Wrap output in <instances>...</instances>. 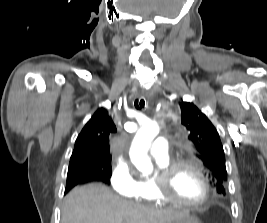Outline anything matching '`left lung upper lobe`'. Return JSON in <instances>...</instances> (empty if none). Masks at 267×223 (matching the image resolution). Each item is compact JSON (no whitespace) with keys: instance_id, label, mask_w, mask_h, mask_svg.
I'll return each instance as SVG.
<instances>
[{"instance_id":"obj_1","label":"left lung upper lobe","mask_w":267,"mask_h":223,"mask_svg":"<svg viewBox=\"0 0 267 223\" xmlns=\"http://www.w3.org/2000/svg\"><path fill=\"white\" fill-rule=\"evenodd\" d=\"M181 123L188 131V139L198 157L211 173V183L216 191L225 194L223 183L227 180L225 157L219 134L210 120L192 103L182 102Z\"/></svg>"}]
</instances>
